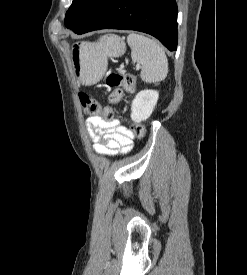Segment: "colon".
<instances>
[{
  "mask_svg": "<svg viewBox=\"0 0 247 275\" xmlns=\"http://www.w3.org/2000/svg\"><path fill=\"white\" fill-rule=\"evenodd\" d=\"M135 82V77L131 73H110L106 79L107 86L112 88V92L108 96V105L103 107L96 99L81 93L79 99L84 112L88 115L101 114L104 118L111 119L113 116L112 106L120 101L123 94V88L131 92L135 88ZM131 130L137 137H144L146 135L145 128L138 123H132Z\"/></svg>",
  "mask_w": 247,
  "mask_h": 275,
  "instance_id": "5ec220e1",
  "label": "colon"
}]
</instances>
